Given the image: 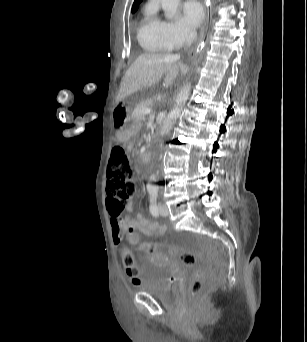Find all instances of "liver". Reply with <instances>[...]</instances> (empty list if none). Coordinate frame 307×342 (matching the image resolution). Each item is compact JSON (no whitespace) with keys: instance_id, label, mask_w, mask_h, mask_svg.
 Returning a JSON list of instances; mask_svg holds the SVG:
<instances>
[{"instance_id":"1","label":"liver","mask_w":307,"mask_h":342,"mask_svg":"<svg viewBox=\"0 0 307 342\" xmlns=\"http://www.w3.org/2000/svg\"><path fill=\"white\" fill-rule=\"evenodd\" d=\"M185 70L188 72V66L176 62L171 54H141L124 74L116 100H124L141 88L158 84L164 74L165 82H173Z\"/></svg>"}]
</instances>
